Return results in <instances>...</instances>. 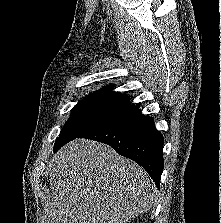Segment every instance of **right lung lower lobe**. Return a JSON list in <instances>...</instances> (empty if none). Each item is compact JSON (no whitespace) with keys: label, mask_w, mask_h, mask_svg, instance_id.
I'll list each match as a JSON object with an SVG mask.
<instances>
[{"label":"right lung lower lobe","mask_w":221,"mask_h":223,"mask_svg":"<svg viewBox=\"0 0 221 223\" xmlns=\"http://www.w3.org/2000/svg\"><path fill=\"white\" fill-rule=\"evenodd\" d=\"M110 145L114 150L141 165L159 188L163 171V136L154 120L137 107L122 119L82 136Z\"/></svg>","instance_id":"right-lung-lower-lobe-1"}]
</instances>
